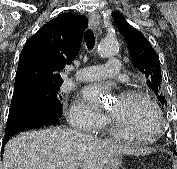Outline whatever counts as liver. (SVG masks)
I'll return each mask as SVG.
<instances>
[{
    "label": "liver",
    "instance_id": "obj_1",
    "mask_svg": "<svg viewBox=\"0 0 177 169\" xmlns=\"http://www.w3.org/2000/svg\"><path fill=\"white\" fill-rule=\"evenodd\" d=\"M138 153L124 144L75 130L48 128L9 140L0 169H104L115 156Z\"/></svg>",
    "mask_w": 177,
    "mask_h": 169
}]
</instances>
